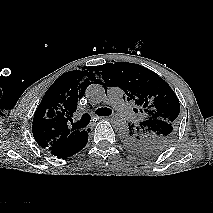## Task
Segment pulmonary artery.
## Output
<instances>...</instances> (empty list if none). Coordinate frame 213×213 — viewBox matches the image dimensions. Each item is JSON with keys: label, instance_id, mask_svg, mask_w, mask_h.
Segmentation results:
<instances>
[{"label": "pulmonary artery", "instance_id": "e3ab8cb5", "mask_svg": "<svg viewBox=\"0 0 213 213\" xmlns=\"http://www.w3.org/2000/svg\"><path fill=\"white\" fill-rule=\"evenodd\" d=\"M106 103L113 106L124 117H131L133 115L122 98V90L119 87H110L108 89Z\"/></svg>", "mask_w": 213, "mask_h": 213}]
</instances>
